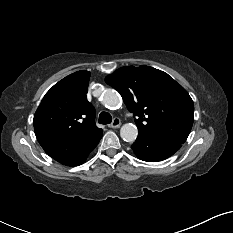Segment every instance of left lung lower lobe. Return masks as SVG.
I'll return each instance as SVG.
<instances>
[{"instance_id":"left-lung-lower-lobe-1","label":"left lung lower lobe","mask_w":233,"mask_h":233,"mask_svg":"<svg viewBox=\"0 0 233 233\" xmlns=\"http://www.w3.org/2000/svg\"><path fill=\"white\" fill-rule=\"evenodd\" d=\"M181 147V143L138 134L131 148L135 155L147 162H157L172 156Z\"/></svg>"}]
</instances>
